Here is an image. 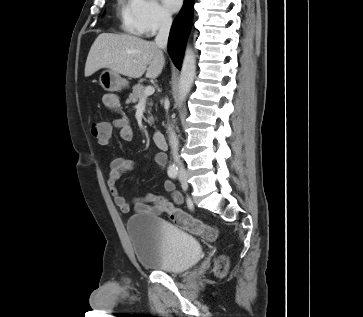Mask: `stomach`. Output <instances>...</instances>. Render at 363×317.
Returning <instances> with one entry per match:
<instances>
[{
  "mask_svg": "<svg viewBox=\"0 0 363 317\" xmlns=\"http://www.w3.org/2000/svg\"><path fill=\"white\" fill-rule=\"evenodd\" d=\"M99 82L103 89L111 92L120 91L128 86V82L111 69L104 70L100 74Z\"/></svg>",
  "mask_w": 363,
  "mask_h": 317,
  "instance_id": "stomach-1",
  "label": "stomach"
}]
</instances>
